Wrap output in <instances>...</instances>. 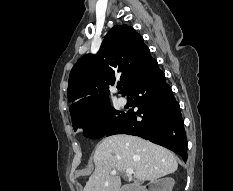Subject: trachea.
I'll list each match as a JSON object with an SVG mask.
<instances>
[{
    "label": "trachea",
    "instance_id": "1",
    "mask_svg": "<svg viewBox=\"0 0 233 191\" xmlns=\"http://www.w3.org/2000/svg\"><path fill=\"white\" fill-rule=\"evenodd\" d=\"M117 88H118V89H121V84H119V85L117 86Z\"/></svg>",
    "mask_w": 233,
    "mask_h": 191
}]
</instances>
